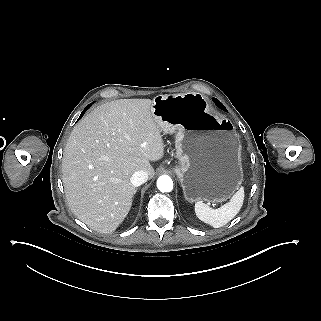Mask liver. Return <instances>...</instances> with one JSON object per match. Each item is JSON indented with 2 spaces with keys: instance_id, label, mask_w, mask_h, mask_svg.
<instances>
[{
  "instance_id": "6515ba94",
  "label": "liver",
  "mask_w": 321,
  "mask_h": 321,
  "mask_svg": "<svg viewBox=\"0 0 321 321\" xmlns=\"http://www.w3.org/2000/svg\"><path fill=\"white\" fill-rule=\"evenodd\" d=\"M150 99H119L96 107L73 128L62 159L71 211L99 233H112L128 214L136 171L155 174L149 161L164 155Z\"/></svg>"
}]
</instances>
